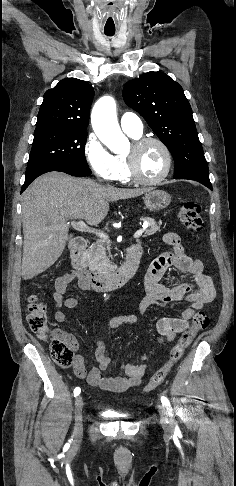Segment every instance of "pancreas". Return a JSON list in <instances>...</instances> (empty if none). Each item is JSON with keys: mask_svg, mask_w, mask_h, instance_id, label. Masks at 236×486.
Instances as JSON below:
<instances>
[{"mask_svg": "<svg viewBox=\"0 0 236 486\" xmlns=\"http://www.w3.org/2000/svg\"><path fill=\"white\" fill-rule=\"evenodd\" d=\"M143 222L148 223V228L145 230L146 235H152L160 229L162 222L158 223L150 218L145 217L141 219ZM106 251H110V243L105 240L95 241L86 251L82 263L85 267H88L90 271L98 273H109L114 269L110 259L106 256Z\"/></svg>", "mask_w": 236, "mask_h": 486, "instance_id": "obj_1", "label": "pancreas"}]
</instances>
